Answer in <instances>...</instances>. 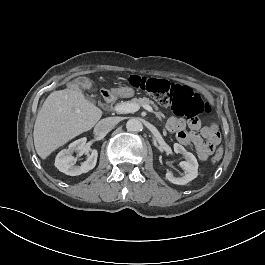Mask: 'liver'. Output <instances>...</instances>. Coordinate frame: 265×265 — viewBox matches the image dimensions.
Masks as SVG:
<instances>
[{
  "label": "liver",
  "instance_id": "liver-1",
  "mask_svg": "<svg viewBox=\"0 0 265 265\" xmlns=\"http://www.w3.org/2000/svg\"><path fill=\"white\" fill-rule=\"evenodd\" d=\"M103 115L102 110L84 98L79 85L50 93L44 100L34 124L33 141L42 160L69 141L90 131Z\"/></svg>",
  "mask_w": 265,
  "mask_h": 265
}]
</instances>
